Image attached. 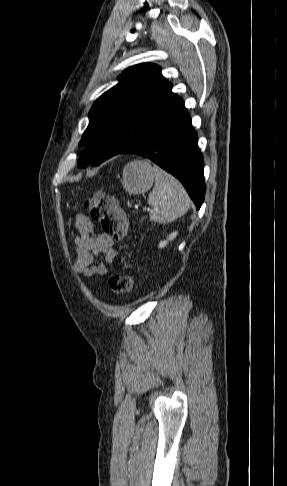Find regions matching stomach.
<instances>
[{
	"instance_id": "0dacf381",
	"label": "stomach",
	"mask_w": 287,
	"mask_h": 486,
	"mask_svg": "<svg viewBox=\"0 0 287 486\" xmlns=\"http://www.w3.org/2000/svg\"><path fill=\"white\" fill-rule=\"evenodd\" d=\"M154 177L153 169L147 161L136 160L125 165L121 184L127 192L138 195L152 187Z\"/></svg>"
}]
</instances>
